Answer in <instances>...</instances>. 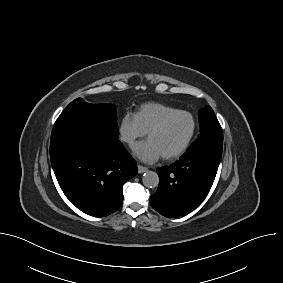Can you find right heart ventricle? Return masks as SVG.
Here are the masks:
<instances>
[{
  "instance_id": "e07e8e85",
  "label": "right heart ventricle",
  "mask_w": 283,
  "mask_h": 283,
  "mask_svg": "<svg viewBox=\"0 0 283 283\" xmlns=\"http://www.w3.org/2000/svg\"><path fill=\"white\" fill-rule=\"evenodd\" d=\"M177 111L176 108L161 103L143 104L137 111L136 116L142 128L148 132L165 115Z\"/></svg>"
}]
</instances>
